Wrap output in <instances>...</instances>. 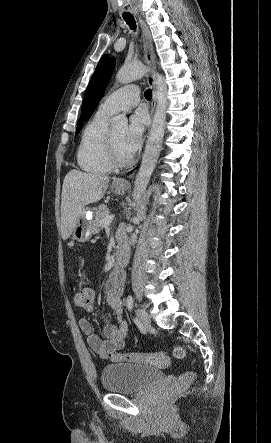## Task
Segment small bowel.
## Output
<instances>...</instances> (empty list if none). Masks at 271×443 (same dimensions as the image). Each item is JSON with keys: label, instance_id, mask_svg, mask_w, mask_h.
<instances>
[{"label": "small bowel", "instance_id": "c3829d8e", "mask_svg": "<svg viewBox=\"0 0 271 443\" xmlns=\"http://www.w3.org/2000/svg\"><path fill=\"white\" fill-rule=\"evenodd\" d=\"M124 278L121 274L114 273L105 286V299L107 306L114 312L116 324H105L102 337L94 332L93 324L86 318L79 321L81 331L87 336V343L101 359H107L111 353L123 348L129 334V326L124 317L122 293Z\"/></svg>", "mask_w": 271, "mask_h": 443}]
</instances>
